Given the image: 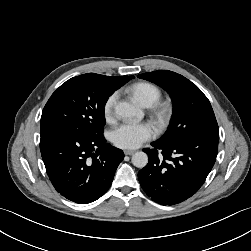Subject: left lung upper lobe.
Returning <instances> with one entry per match:
<instances>
[{
    "instance_id": "left-lung-upper-lobe-1",
    "label": "left lung upper lobe",
    "mask_w": 251,
    "mask_h": 251,
    "mask_svg": "<svg viewBox=\"0 0 251 251\" xmlns=\"http://www.w3.org/2000/svg\"><path fill=\"white\" fill-rule=\"evenodd\" d=\"M166 90L173 101L174 116L168 131L158 141L169 144L195 136L219 137L218 124L211 104L190 80L168 70L138 75Z\"/></svg>"
}]
</instances>
